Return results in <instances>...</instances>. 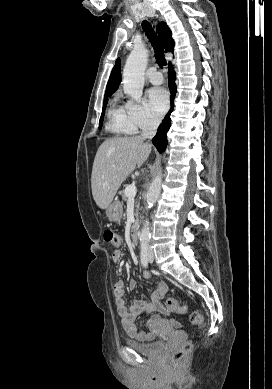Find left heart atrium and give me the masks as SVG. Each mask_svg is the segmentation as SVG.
I'll return each mask as SVG.
<instances>
[{
	"label": "left heart atrium",
	"instance_id": "1",
	"mask_svg": "<svg viewBox=\"0 0 272 389\" xmlns=\"http://www.w3.org/2000/svg\"><path fill=\"white\" fill-rule=\"evenodd\" d=\"M146 104L156 116H161L168 108V95L163 88H151L146 93Z\"/></svg>",
	"mask_w": 272,
	"mask_h": 389
}]
</instances>
